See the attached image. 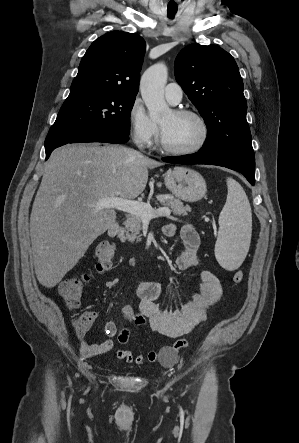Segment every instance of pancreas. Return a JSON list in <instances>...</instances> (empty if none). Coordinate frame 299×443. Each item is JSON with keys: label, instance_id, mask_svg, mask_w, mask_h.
I'll return each instance as SVG.
<instances>
[{"label": "pancreas", "instance_id": "pancreas-1", "mask_svg": "<svg viewBox=\"0 0 299 443\" xmlns=\"http://www.w3.org/2000/svg\"><path fill=\"white\" fill-rule=\"evenodd\" d=\"M158 197L160 204L170 207L174 215L185 216L187 215L188 211H191V208L189 206H184L183 202H181L180 199L175 198L174 196L159 195ZM141 223V217L134 214H129L126 221L124 222L125 227L121 230V233L119 234L120 240L122 242L128 240L131 243H133L135 240L137 242L141 241L140 236H138L141 231Z\"/></svg>", "mask_w": 299, "mask_h": 443}]
</instances>
